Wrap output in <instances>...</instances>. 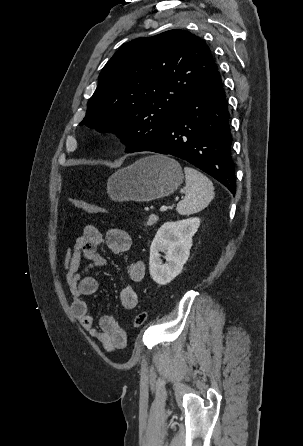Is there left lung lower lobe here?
<instances>
[{
  "mask_svg": "<svg viewBox=\"0 0 303 446\" xmlns=\"http://www.w3.org/2000/svg\"><path fill=\"white\" fill-rule=\"evenodd\" d=\"M231 142L226 96L217 70L181 104L171 124L135 152L177 156L211 175L235 194Z\"/></svg>",
  "mask_w": 303,
  "mask_h": 446,
  "instance_id": "left-lung-lower-lobe-1",
  "label": "left lung lower lobe"
}]
</instances>
